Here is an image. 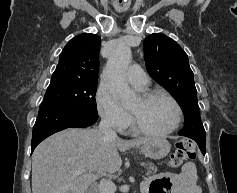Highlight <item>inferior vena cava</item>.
Wrapping results in <instances>:
<instances>
[{"label":"inferior vena cava","instance_id":"inferior-vena-cava-1","mask_svg":"<svg viewBox=\"0 0 237 193\" xmlns=\"http://www.w3.org/2000/svg\"><path fill=\"white\" fill-rule=\"evenodd\" d=\"M99 132L108 138H116L117 135L115 131H113L111 124L102 119L99 123L98 127ZM99 191L100 193H115V185L111 180L102 179L99 184Z\"/></svg>","mask_w":237,"mask_h":193}]
</instances>
